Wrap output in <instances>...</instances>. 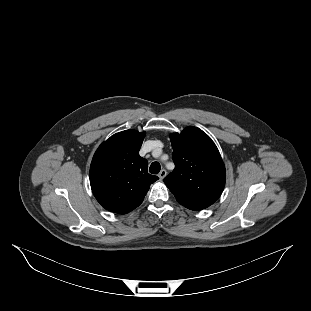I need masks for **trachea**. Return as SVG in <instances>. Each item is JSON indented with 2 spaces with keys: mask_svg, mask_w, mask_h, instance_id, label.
Segmentation results:
<instances>
[{
  "mask_svg": "<svg viewBox=\"0 0 311 311\" xmlns=\"http://www.w3.org/2000/svg\"><path fill=\"white\" fill-rule=\"evenodd\" d=\"M160 169H161L160 168V164L158 162H153L150 165L149 172L152 173V174H158Z\"/></svg>",
  "mask_w": 311,
  "mask_h": 311,
  "instance_id": "trachea-1",
  "label": "trachea"
}]
</instances>
